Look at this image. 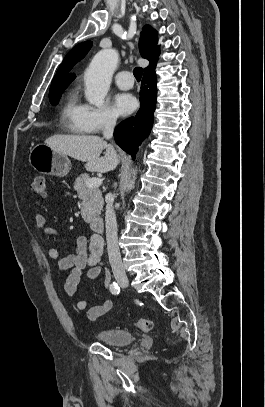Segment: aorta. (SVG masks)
Masks as SVG:
<instances>
[{"mask_svg": "<svg viewBox=\"0 0 265 407\" xmlns=\"http://www.w3.org/2000/svg\"><path fill=\"white\" fill-rule=\"evenodd\" d=\"M118 59L114 49L101 50L93 57L84 74L85 97L90 104L97 107L104 104ZM135 173L133 170V180L127 185L128 189L133 187Z\"/></svg>", "mask_w": 265, "mask_h": 407, "instance_id": "762f6f07", "label": "aorta"}]
</instances>
